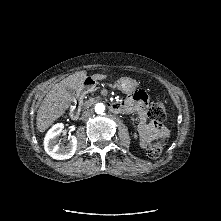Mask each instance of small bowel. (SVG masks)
Masks as SVG:
<instances>
[{
	"label": "small bowel",
	"instance_id": "1",
	"mask_svg": "<svg viewBox=\"0 0 221 221\" xmlns=\"http://www.w3.org/2000/svg\"><path fill=\"white\" fill-rule=\"evenodd\" d=\"M124 105L126 106V112L137 114L139 142L143 148L167 134V130L162 124L149 120L146 108L147 96L143 92H134L125 101Z\"/></svg>",
	"mask_w": 221,
	"mask_h": 221
}]
</instances>
